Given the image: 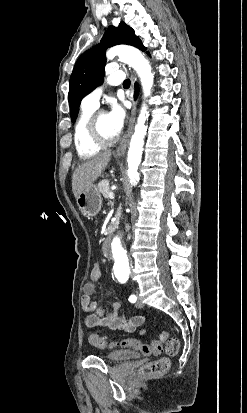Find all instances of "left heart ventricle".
Segmentation results:
<instances>
[{
	"label": "left heart ventricle",
	"instance_id": "b2bd125f",
	"mask_svg": "<svg viewBox=\"0 0 247 413\" xmlns=\"http://www.w3.org/2000/svg\"><path fill=\"white\" fill-rule=\"evenodd\" d=\"M99 121H100V124H101V126H99V129H100V132H101L102 136L106 139L115 138V136L113 135V133L111 132L109 127L105 125V118L100 116ZM104 126L106 128H103Z\"/></svg>",
	"mask_w": 247,
	"mask_h": 413
}]
</instances>
